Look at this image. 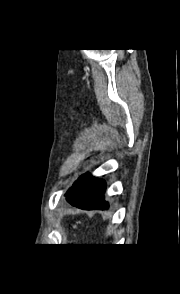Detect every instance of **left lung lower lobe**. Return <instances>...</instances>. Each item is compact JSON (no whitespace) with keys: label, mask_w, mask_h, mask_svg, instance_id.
Masks as SVG:
<instances>
[{"label":"left lung lower lobe","mask_w":180,"mask_h":294,"mask_svg":"<svg viewBox=\"0 0 180 294\" xmlns=\"http://www.w3.org/2000/svg\"><path fill=\"white\" fill-rule=\"evenodd\" d=\"M105 182L89 174L82 175L67 194V201L81 209H107L108 203L103 199Z\"/></svg>","instance_id":"obj_1"}]
</instances>
